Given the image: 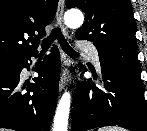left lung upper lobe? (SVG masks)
<instances>
[{
    "instance_id": "1",
    "label": "left lung upper lobe",
    "mask_w": 147,
    "mask_h": 131,
    "mask_svg": "<svg viewBox=\"0 0 147 131\" xmlns=\"http://www.w3.org/2000/svg\"><path fill=\"white\" fill-rule=\"evenodd\" d=\"M66 6L84 11L86 20L75 36L92 41L101 62L141 74L135 40L136 22L129 0H66Z\"/></svg>"
}]
</instances>
